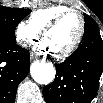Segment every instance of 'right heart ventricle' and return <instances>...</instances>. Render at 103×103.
Masks as SVG:
<instances>
[{
    "label": "right heart ventricle",
    "mask_w": 103,
    "mask_h": 103,
    "mask_svg": "<svg viewBox=\"0 0 103 103\" xmlns=\"http://www.w3.org/2000/svg\"><path fill=\"white\" fill-rule=\"evenodd\" d=\"M68 9H70V7L64 4L51 5L41 8L30 15L29 22L40 32L51 20Z\"/></svg>",
    "instance_id": "right-heart-ventricle-1"
}]
</instances>
